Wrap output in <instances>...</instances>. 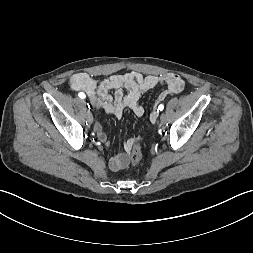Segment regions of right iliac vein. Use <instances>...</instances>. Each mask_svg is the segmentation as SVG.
Listing matches in <instances>:
<instances>
[{"instance_id": "obj_1", "label": "right iliac vein", "mask_w": 253, "mask_h": 253, "mask_svg": "<svg viewBox=\"0 0 253 253\" xmlns=\"http://www.w3.org/2000/svg\"><path fill=\"white\" fill-rule=\"evenodd\" d=\"M86 119H87V122H88L89 124H92V122H93V117H92V114H91L90 111L87 112Z\"/></svg>"}]
</instances>
